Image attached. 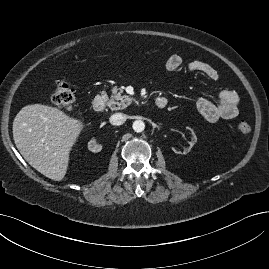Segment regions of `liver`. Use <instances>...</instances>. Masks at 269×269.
I'll use <instances>...</instances> for the list:
<instances>
[{"label": "liver", "mask_w": 269, "mask_h": 269, "mask_svg": "<svg viewBox=\"0 0 269 269\" xmlns=\"http://www.w3.org/2000/svg\"><path fill=\"white\" fill-rule=\"evenodd\" d=\"M84 125L58 108L31 104L13 121V138L23 158L46 177L61 181L69 154Z\"/></svg>", "instance_id": "1"}]
</instances>
